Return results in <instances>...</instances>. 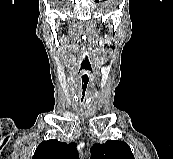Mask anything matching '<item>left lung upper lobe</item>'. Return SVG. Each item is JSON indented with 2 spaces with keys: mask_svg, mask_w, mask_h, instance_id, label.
<instances>
[{
  "mask_svg": "<svg viewBox=\"0 0 173 159\" xmlns=\"http://www.w3.org/2000/svg\"><path fill=\"white\" fill-rule=\"evenodd\" d=\"M91 159H134L130 147L123 141L108 140L91 147Z\"/></svg>",
  "mask_w": 173,
  "mask_h": 159,
  "instance_id": "obj_1",
  "label": "left lung upper lobe"
}]
</instances>
